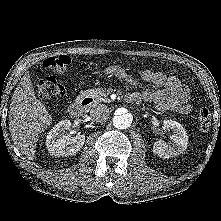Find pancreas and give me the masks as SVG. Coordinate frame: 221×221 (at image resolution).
<instances>
[{
    "label": "pancreas",
    "instance_id": "1",
    "mask_svg": "<svg viewBox=\"0 0 221 221\" xmlns=\"http://www.w3.org/2000/svg\"><path fill=\"white\" fill-rule=\"evenodd\" d=\"M85 94L95 98L96 101H98V102H106L107 101L106 93L100 89L88 90L85 92Z\"/></svg>",
    "mask_w": 221,
    "mask_h": 221
}]
</instances>
